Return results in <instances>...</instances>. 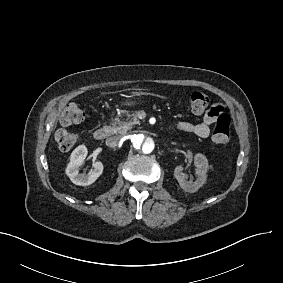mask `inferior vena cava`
Wrapping results in <instances>:
<instances>
[{
    "label": "inferior vena cava",
    "instance_id": "602c4592",
    "mask_svg": "<svg viewBox=\"0 0 283 283\" xmlns=\"http://www.w3.org/2000/svg\"><path fill=\"white\" fill-rule=\"evenodd\" d=\"M122 137L121 136H112L106 139V145L109 147H116L120 141H121Z\"/></svg>",
    "mask_w": 283,
    "mask_h": 283
}]
</instances>
